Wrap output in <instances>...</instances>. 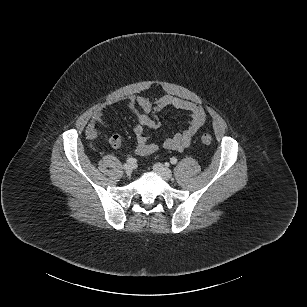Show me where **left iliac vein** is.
Masks as SVG:
<instances>
[{
	"mask_svg": "<svg viewBox=\"0 0 307 307\" xmlns=\"http://www.w3.org/2000/svg\"><path fill=\"white\" fill-rule=\"evenodd\" d=\"M153 171L166 181L170 180L173 176L172 171L161 163L154 164Z\"/></svg>",
	"mask_w": 307,
	"mask_h": 307,
	"instance_id": "4c4485c4",
	"label": "left iliac vein"
}]
</instances>
